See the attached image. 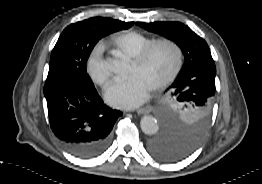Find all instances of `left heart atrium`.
Returning a JSON list of instances; mask_svg holds the SVG:
<instances>
[{"label":"left heart atrium","mask_w":262,"mask_h":184,"mask_svg":"<svg viewBox=\"0 0 262 184\" xmlns=\"http://www.w3.org/2000/svg\"><path fill=\"white\" fill-rule=\"evenodd\" d=\"M153 89L141 75L133 74L115 82L106 92V101L113 107L131 109L144 103Z\"/></svg>","instance_id":"obj_1"}]
</instances>
